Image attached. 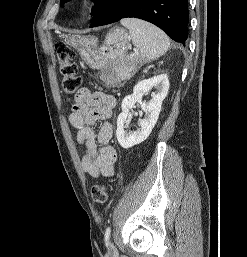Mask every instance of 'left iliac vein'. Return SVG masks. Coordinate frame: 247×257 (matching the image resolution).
Returning <instances> with one entry per match:
<instances>
[{"label":"left iliac vein","instance_id":"4c4485c4","mask_svg":"<svg viewBox=\"0 0 247 257\" xmlns=\"http://www.w3.org/2000/svg\"><path fill=\"white\" fill-rule=\"evenodd\" d=\"M108 252L112 256L117 255V249H116L115 245L113 243H111V242L109 243Z\"/></svg>","mask_w":247,"mask_h":257}]
</instances>
